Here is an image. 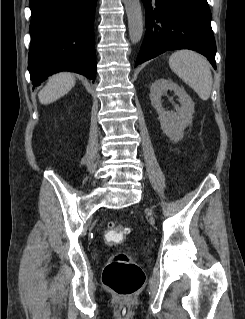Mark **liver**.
<instances>
[{"label": "liver", "mask_w": 245, "mask_h": 319, "mask_svg": "<svg viewBox=\"0 0 245 319\" xmlns=\"http://www.w3.org/2000/svg\"><path fill=\"white\" fill-rule=\"evenodd\" d=\"M75 85V78L71 73H59L48 80L46 86L39 92V101L46 105L50 104L65 94Z\"/></svg>", "instance_id": "obj_1"}]
</instances>
